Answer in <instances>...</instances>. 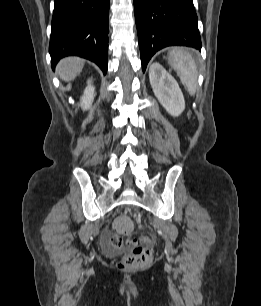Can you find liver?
<instances>
[{
  "instance_id": "obj_1",
  "label": "liver",
  "mask_w": 261,
  "mask_h": 306,
  "mask_svg": "<svg viewBox=\"0 0 261 306\" xmlns=\"http://www.w3.org/2000/svg\"><path fill=\"white\" fill-rule=\"evenodd\" d=\"M84 61L76 57H68L60 61L57 71L60 78L66 82L74 80L82 71Z\"/></svg>"
}]
</instances>
